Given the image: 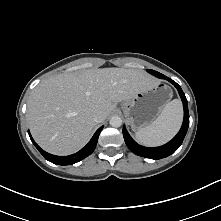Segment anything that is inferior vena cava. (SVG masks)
Returning a JSON list of instances; mask_svg holds the SVG:
<instances>
[{
    "mask_svg": "<svg viewBox=\"0 0 221 221\" xmlns=\"http://www.w3.org/2000/svg\"><path fill=\"white\" fill-rule=\"evenodd\" d=\"M93 120H94L96 123L102 122V120H103L102 115H101V114H95L94 117H93Z\"/></svg>",
    "mask_w": 221,
    "mask_h": 221,
    "instance_id": "obj_1",
    "label": "inferior vena cava"
}]
</instances>
